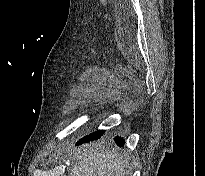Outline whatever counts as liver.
I'll list each match as a JSON object with an SVG mask.
<instances>
[{"mask_svg": "<svg viewBox=\"0 0 205 176\" xmlns=\"http://www.w3.org/2000/svg\"><path fill=\"white\" fill-rule=\"evenodd\" d=\"M72 170L69 176H124V160L115 150L84 145L73 151Z\"/></svg>", "mask_w": 205, "mask_h": 176, "instance_id": "obj_1", "label": "liver"}]
</instances>
